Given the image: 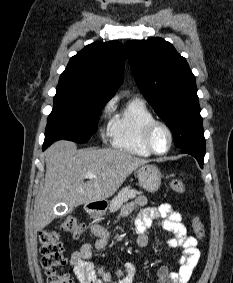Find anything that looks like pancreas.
I'll return each instance as SVG.
<instances>
[{
    "mask_svg": "<svg viewBox=\"0 0 233 283\" xmlns=\"http://www.w3.org/2000/svg\"><path fill=\"white\" fill-rule=\"evenodd\" d=\"M141 191H137L135 189H132L130 186H126L122 188L117 196L113 198V200L110 203L109 210L110 212L117 211L123 203L127 202L129 199L135 198L137 195H141Z\"/></svg>",
    "mask_w": 233,
    "mask_h": 283,
    "instance_id": "1",
    "label": "pancreas"
}]
</instances>
